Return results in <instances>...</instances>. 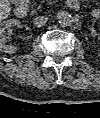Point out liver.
Here are the masks:
<instances>
[{
    "label": "liver",
    "instance_id": "1",
    "mask_svg": "<svg viewBox=\"0 0 100 118\" xmlns=\"http://www.w3.org/2000/svg\"><path fill=\"white\" fill-rule=\"evenodd\" d=\"M0 8H1L2 18H6L11 10L9 1L8 0H1L0 1Z\"/></svg>",
    "mask_w": 100,
    "mask_h": 118
}]
</instances>
